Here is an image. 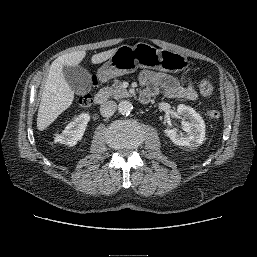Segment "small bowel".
Segmentation results:
<instances>
[{
  "instance_id": "c3829d8e",
  "label": "small bowel",
  "mask_w": 257,
  "mask_h": 257,
  "mask_svg": "<svg viewBox=\"0 0 257 257\" xmlns=\"http://www.w3.org/2000/svg\"><path fill=\"white\" fill-rule=\"evenodd\" d=\"M139 80L143 87L140 94L141 101L149 100L161 91L168 99L194 100L197 98L195 84L191 79H183L180 76L164 72L144 70L140 73Z\"/></svg>"
}]
</instances>
